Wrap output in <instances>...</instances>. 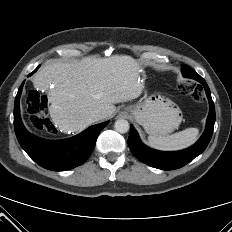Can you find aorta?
Segmentation results:
<instances>
[{
	"mask_svg": "<svg viewBox=\"0 0 232 232\" xmlns=\"http://www.w3.org/2000/svg\"><path fill=\"white\" fill-rule=\"evenodd\" d=\"M129 122L125 119L115 121L114 128L119 133H126L129 130Z\"/></svg>",
	"mask_w": 232,
	"mask_h": 232,
	"instance_id": "aorta-1",
	"label": "aorta"
}]
</instances>
